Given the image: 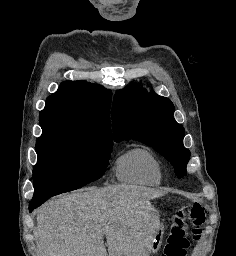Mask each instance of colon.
Returning a JSON list of instances; mask_svg holds the SVG:
<instances>
[{"label":"colon","instance_id":"colon-1","mask_svg":"<svg viewBox=\"0 0 236 256\" xmlns=\"http://www.w3.org/2000/svg\"><path fill=\"white\" fill-rule=\"evenodd\" d=\"M187 221H190L193 226L192 238L198 241L206 223V211L200 202H189L175 212L162 256H186L189 247L186 233Z\"/></svg>","mask_w":236,"mask_h":256}]
</instances>
